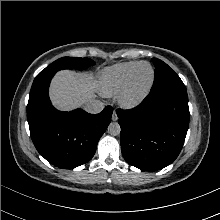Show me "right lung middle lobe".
<instances>
[{"instance_id": "right-lung-middle-lobe-1", "label": "right lung middle lobe", "mask_w": 220, "mask_h": 220, "mask_svg": "<svg viewBox=\"0 0 220 220\" xmlns=\"http://www.w3.org/2000/svg\"><path fill=\"white\" fill-rule=\"evenodd\" d=\"M94 64L95 62L89 58L63 57V58H60L54 61L44 70H42L36 77H41V76H44L50 73H56L57 71L62 70V69L82 70Z\"/></svg>"}]
</instances>
